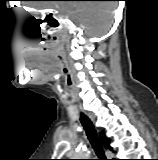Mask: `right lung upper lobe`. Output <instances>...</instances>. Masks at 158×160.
I'll return each mask as SVG.
<instances>
[{"mask_svg":"<svg viewBox=\"0 0 158 160\" xmlns=\"http://www.w3.org/2000/svg\"><path fill=\"white\" fill-rule=\"evenodd\" d=\"M101 136H102V138H103V143H104V145H105V147H107V148H109V149H112L110 146H109V139H107V138H104V136H103V133H101Z\"/></svg>","mask_w":158,"mask_h":160,"instance_id":"cb5924a9","label":"right lung upper lobe"}]
</instances>
